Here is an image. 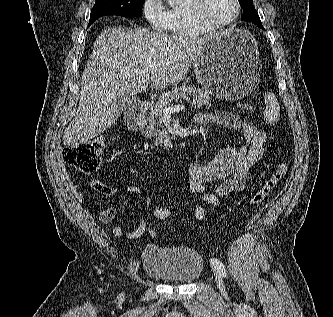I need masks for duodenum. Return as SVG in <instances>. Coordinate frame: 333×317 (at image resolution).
I'll return each instance as SVG.
<instances>
[{"instance_id":"duodenum-1","label":"duodenum","mask_w":333,"mask_h":317,"mask_svg":"<svg viewBox=\"0 0 333 317\" xmlns=\"http://www.w3.org/2000/svg\"><path fill=\"white\" fill-rule=\"evenodd\" d=\"M151 106L149 99L144 100L133 107L126 115V126L131 131H137L143 124L147 110Z\"/></svg>"}]
</instances>
